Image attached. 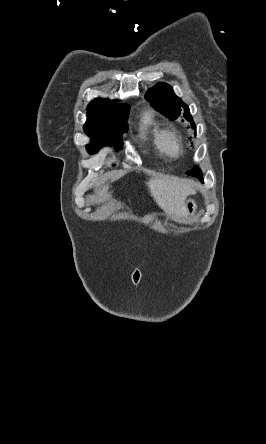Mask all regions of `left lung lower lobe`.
<instances>
[{
	"label": "left lung lower lobe",
	"mask_w": 266,
	"mask_h": 444,
	"mask_svg": "<svg viewBox=\"0 0 266 444\" xmlns=\"http://www.w3.org/2000/svg\"><path fill=\"white\" fill-rule=\"evenodd\" d=\"M189 174H193L195 177H197V178H199L201 181H203V178H202V172H201V170L199 169V168H194L193 170H191L189 173H188V175Z\"/></svg>",
	"instance_id": "0a47b994"
}]
</instances>
